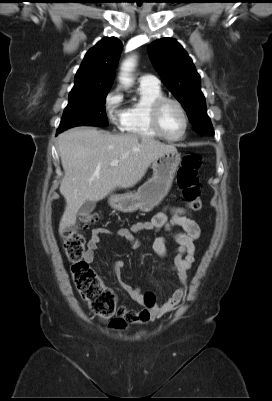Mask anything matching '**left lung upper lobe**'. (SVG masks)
<instances>
[{"mask_svg": "<svg viewBox=\"0 0 272 401\" xmlns=\"http://www.w3.org/2000/svg\"><path fill=\"white\" fill-rule=\"evenodd\" d=\"M148 51L162 82L182 104L193 129L199 134L214 135L200 75L184 48L172 38H162L152 42Z\"/></svg>", "mask_w": 272, "mask_h": 401, "instance_id": "obj_1", "label": "left lung upper lobe"}]
</instances>
